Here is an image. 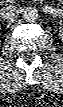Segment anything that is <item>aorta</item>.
I'll return each instance as SVG.
<instances>
[{
    "label": "aorta",
    "instance_id": "aorta-1",
    "mask_svg": "<svg viewBox=\"0 0 63 107\" xmlns=\"http://www.w3.org/2000/svg\"><path fill=\"white\" fill-rule=\"evenodd\" d=\"M39 18L38 10L35 7H26L23 11V19L26 22H35Z\"/></svg>",
    "mask_w": 63,
    "mask_h": 107
}]
</instances>
